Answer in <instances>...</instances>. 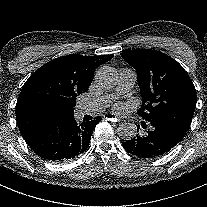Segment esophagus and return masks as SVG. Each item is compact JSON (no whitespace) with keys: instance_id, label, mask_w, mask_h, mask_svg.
Returning <instances> with one entry per match:
<instances>
[{"instance_id":"34e87169","label":"esophagus","mask_w":207,"mask_h":207,"mask_svg":"<svg viewBox=\"0 0 207 207\" xmlns=\"http://www.w3.org/2000/svg\"><path fill=\"white\" fill-rule=\"evenodd\" d=\"M104 118L106 120L113 121V122L118 121V118L114 114H112V113H106V114H104Z\"/></svg>"}]
</instances>
